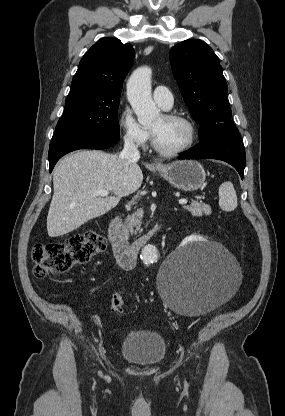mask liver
<instances>
[{"label":"liver","mask_w":285,"mask_h":416,"mask_svg":"<svg viewBox=\"0 0 285 416\" xmlns=\"http://www.w3.org/2000/svg\"><path fill=\"white\" fill-rule=\"evenodd\" d=\"M143 182L137 164L125 168L117 154L98 150H78L66 156L53 174L54 194L47 216L50 238L64 236L88 220L110 212L120 202L139 190ZM94 190H108L114 196H92Z\"/></svg>","instance_id":"liver-1"}]
</instances>
